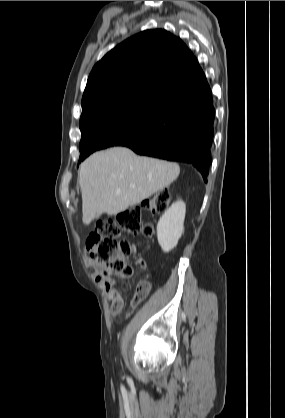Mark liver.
<instances>
[{
	"label": "liver",
	"mask_w": 285,
	"mask_h": 418,
	"mask_svg": "<svg viewBox=\"0 0 285 418\" xmlns=\"http://www.w3.org/2000/svg\"><path fill=\"white\" fill-rule=\"evenodd\" d=\"M179 173L176 163L137 156L125 147L96 152L79 169L83 221L125 211L170 185Z\"/></svg>",
	"instance_id": "liver-1"
}]
</instances>
